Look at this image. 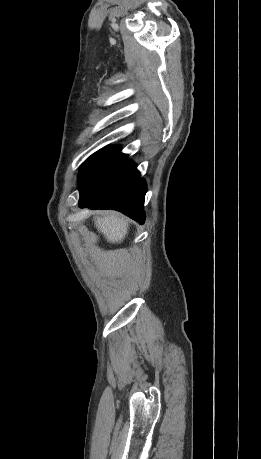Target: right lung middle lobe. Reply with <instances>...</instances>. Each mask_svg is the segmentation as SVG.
<instances>
[{
    "label": "right lung middle lobe",
    "mask_w": 261,
    "mask_h": 459,
    "mask_svg": "<svg viewBox=\"0 0 261 459\" xmlns=\"http://www.w3.org/2000/svg\"><path fill=\"white\" fill-rule=\"evenodd\" d=\"M126 160L127 155L120 152V147L107 146L91 155L79 170L80 199L89 196Z\"/></svg>",
    "instance_id": "obj_1"
}]
</instances>
